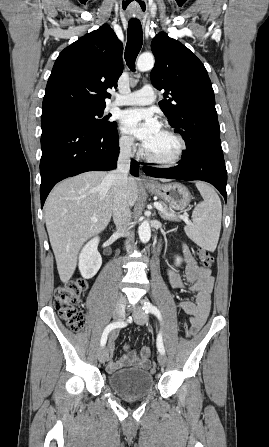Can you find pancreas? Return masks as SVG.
Returning <instances> with one entry per match:
<instances>
[{"label":"pancreas","mask_w":269,"mask_h":447,"mask_svg":"<svg viewBox=\"0 0 269 447\" xmlns=\"http://www.w3.org/2000/svg\"><path fill=\"white\" fill-rule=\"evenodd\" d=\"M159 204H162L165 212H167V214H174V218H169V216H164V214H162V212H159L161 218H163V220H170V222H180V220H178V218H176V214L175 212H171V210H169V208H167L166 204H164V202H159Z\"/></svg>","instance_id":"1"}]
</instances>
